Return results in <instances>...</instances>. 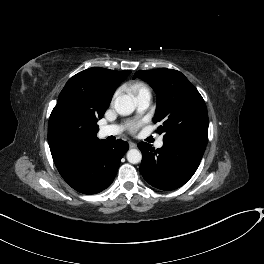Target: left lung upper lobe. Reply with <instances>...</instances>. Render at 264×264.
Listing matches in <instances>:
<instances>
[{"label":"left lung upper lobe","instance_id":"5c2ea615","mask_svg":"<svg viewBox=\"0 0 264 264\" xmlns=\"http://www.w3.org/2000/svg\"><path fill=\"white\" fill-rule=\"evenodd\" d=\"M147 81L157 94L154 123L163 141L196 139L208 141V113L198 90L179 71L173 69L140 70L133 78Z\"/></svg>","mask_w":264,"mask_h":264}]
</instances>
